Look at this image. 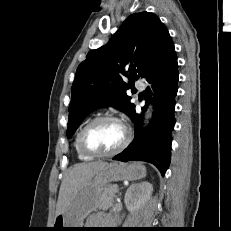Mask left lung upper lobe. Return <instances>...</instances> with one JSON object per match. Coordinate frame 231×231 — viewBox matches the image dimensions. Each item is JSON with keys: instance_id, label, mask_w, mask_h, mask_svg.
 I'll use <instances>...</instances> for the list:
<instances>
[{"instance_id": "5c2ea615", "label": "left lung upper lobe", "mask_w": 231, "mask_h": 231, "mask_svg": "<svg viewBox=\"0 0 231 231\" xmlns=\"http://www.w3.org/2000/svg\"><path fill=\"white\" fill-rule=\"evenodd\" d=\"M168 35L155 14L134 13L106 45L87 54L77 68L72 85L68 138L97 107L112 106L131 117L135 106L126 94L131 85L124 77L132 84L143 77Z\"/></svg>"}]
</instances>
